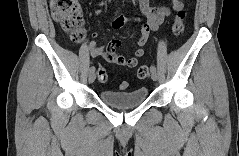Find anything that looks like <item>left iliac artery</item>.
<instances>
[{
  "instance_id": "1",
  "label": "left iliac artery",
  "mask_w": 239,
  "mask_h": 156,
  "mask_svg": "<svg viewBox=\"0 0 239 156\" xmlns=\"http://www.w3.org/2000/svg\"><path fill=\"white\" fill-rule=\"evenodd\" d=\"M150 70H151V71H155V70H156V67H155L154 65H151Z\"/></svg>"
}]
</instances>
